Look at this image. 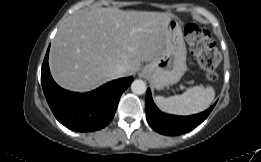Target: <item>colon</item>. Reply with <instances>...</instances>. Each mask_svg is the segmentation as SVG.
Returning <instances> with one entry per match:
<instances>
[{
    "instance_id": "obj_1",
    "label": "colon",
    "mask_w": 261,
    "mask_h": 162,
    "mask_svg": "<svg viewBox=\"0 0 261 162\" xmlns=\"http://www.w3.org/2000/svg\"><path fill=\"white\" fill-rule=\"evenodd\" d=\"M184 35L189 48L208 80L217 78V67L221 60L220 53L213 47V40L208 30L189 22L184 28Z\"/></svg>"
}]
</instances>
